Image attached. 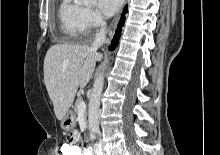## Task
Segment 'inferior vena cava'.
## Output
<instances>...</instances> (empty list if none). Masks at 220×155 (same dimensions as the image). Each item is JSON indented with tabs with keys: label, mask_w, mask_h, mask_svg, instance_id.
<instances>
[{
	"label": "inferior vena cava",
	"mask_w": 220,
	"mask_h": 155,
	"mask_svg": "<svg viewBox=\"0 0 220 155\" xmlns=\"http://www.w3.org/2000/svg\"><path fill=\"white\" fill-rule=\"evenodd\" d=\"M105 30H106V23L104 21H102L101 22V28L96 33V37H95L94 43H93V45L91 47L92 49L98 48L101 45H103V43L106 40Z\"/></svg>",
	"instance_id": "602c4592"
}]
</instances>
